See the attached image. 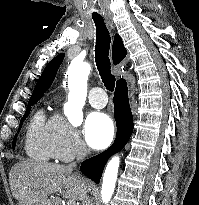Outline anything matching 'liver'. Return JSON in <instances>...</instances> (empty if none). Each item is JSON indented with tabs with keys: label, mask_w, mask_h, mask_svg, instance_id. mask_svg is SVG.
Listing matches in <instances>:
<instances>
[{
	"label": "liver",
	"mask_w": 199,
	"mask_h": 205,
	"mask_svg": "<svg viewBox=\"0 0 199 205\" xmlns=\"http://www.w3.org/2000/svg\"><path fill=\"white\" fill-rule=\"evenodd\" d=\"M9 182L19 205H61V199L53 196L57 192L69 201H83L89 189L87 180L67 166L33 160L16 163Z\"/></svg>",
	"instance_id": "liver-1"
}]
</instances>
